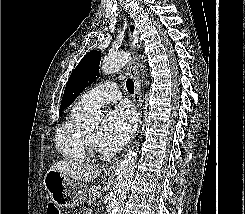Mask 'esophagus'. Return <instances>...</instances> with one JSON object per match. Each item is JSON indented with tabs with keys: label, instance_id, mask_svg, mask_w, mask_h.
I'll list each match as a JSON object with an SVG mask.
<instances>
[{
	"label": "esophagus",
	"instance_id": "1",
	"mask_svg": "<svg viewBox=\"0 0 245 214\" xmlns=\"http://www.w3.org/2000/svg\"><path fill=\"white\" fill-rule=\"evenodd\" d=\"M128 46H129L130 53L132 54V60L127 67V71L129 73L130 77L133 79L134 85H135V93H134L133 99H134L136 108L138 110L137 124H140L141 123V117H142V111H141L142 99H141L140 75H139V70H138V64L136 62L137 54H136V51H135V49L131 43V40L128 41ZM123 156H124V154H122L119 158L114 159L112 161V166H114L115 164H118L121 161V159L123 158Z\"/></svg>",
	"mask_w": 245,
	"mask_h": 214
}]
</instances>
